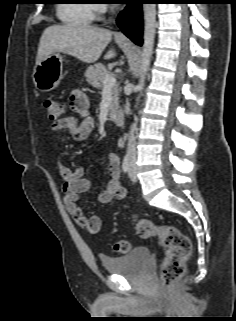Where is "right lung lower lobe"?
I'll use <instances>...</instances> for the list:
<instances>
[{"label":"right lung lower lobe","instance_id":"98d812e1","mask_svg":"<svg viewBox=\"0 0 236 321\" xmlns=\"http://www.w3.org/2000/svg\"><path fill=\"white\" fill-rule=\"evenodd\" d=\"M145 2L146 0H128L126 3L131 5L117 19L122 32L137 45H142L143 42L141 4Z\"/></svg>","mask_w":236,"mask_h":321}]
</instances>
